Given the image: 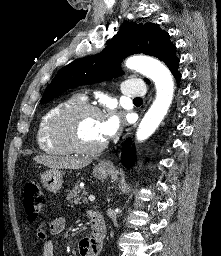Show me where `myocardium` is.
I'll return each mask as SVG.
<instances>
[{"label": "myocardium", "instance_id": "myocardium-1", "mask_svg": "<svg viewBox=\"0 0 221 256\" xmlns=\"http://www.w3.org/2000/svg\"><path fill=\"white\" fill-rule=\"evenodd\" d=\"M85 114L103 116L101 110L94 105L85 102L74 104L56 116L52 127V136L57 142L63 144L69 152L94 155L100 153L106 147L107 142L104 140L96 146L86 147L77 141L75 125L78 118Z\"/></svg>", "mask_w": 221, "mask_h": 256}]
</instances>
